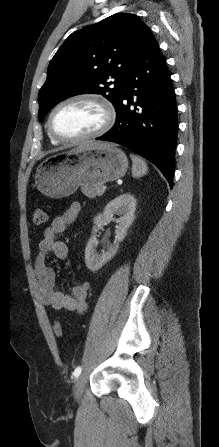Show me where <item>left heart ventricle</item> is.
<instances>
[{"label": "left heart ventricle", "mask_w": 219, "mask_h": 447, "mask_svg": "<svg viewBox=\"0 0 219 447\" xmlns=\"http://www.w3.org/2000/svg\"><path fill=\"white\" fill-rule=\"evenodd\" d=\"M103 122L101 109L89 102H76L60 108L53 117L54 131L66 138H76L95 131Z\"/></svg>", "instance_id": "1"}]
</instances>
